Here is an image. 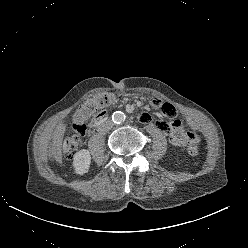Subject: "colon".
<instances>
[{"instance_id": "colon-1", "label": "colon", "mask_w": 248, "mask_h": 248, "mask_svg": "<svg viewBox=\"0 0 248 248\" xmlns=\"http://www.w3.org/2000/svg\"><path fill=\"white\" fill-rule=\"evenodd\" d=\"M113 102L114 96L112 94L105 93L91 99L79 107L73 122V129L76 134L67 138L63 145V153L67 159L74 156L81 145V138L87 133L88 128L85 122L86 119L95 113H101ZM199 152V137L198 135H195L188 147V153L192 156H196Z\"/></svg>"}]
</instances>
